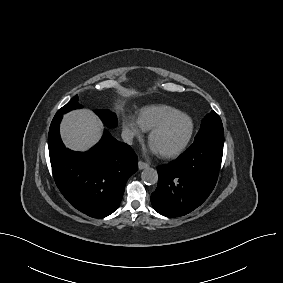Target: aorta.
I'll use <instances>...</instances> for the list:
<instances>
[{
  "mask_svg": "<svg viewBox=\"0 0 283 283\" xmlns=\"http://www.w3.org/2000/svg\"><path fill=\"white\" fill-rule=\"evenodd\" d=\"M141 179L144 183L153 185L158 181V173L153 168H145L141 173Z\"/></svg>",
  "mask_w": 283,
  "mask_h": 283,
  "instance_id": "762f6f07",
  "label": "aorta"
}]
</instances>
